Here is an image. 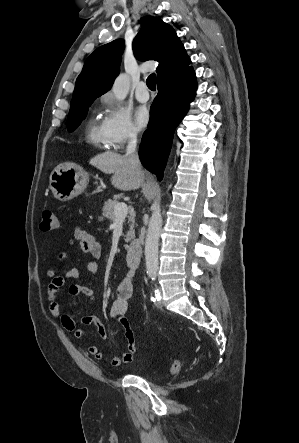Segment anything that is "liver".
I'll return each instance as SVG.
<instances>
[{"instance_id":"obj_1","label":"liver","mask_w":299,"mask_h":443,"mask_svg":"<svg viewBox=\"0 0 299 443\" xmlns=\"http://www.w3.org/2000/svg\"><path fill=\"white\" fill-rule=\"evenodd\" d=\"M89 163L105 174H113L111 184L118 190L138 189L145 179V172L135 165L126 155L106 151L97 154Z\"/></svg>"}]
</instances>
